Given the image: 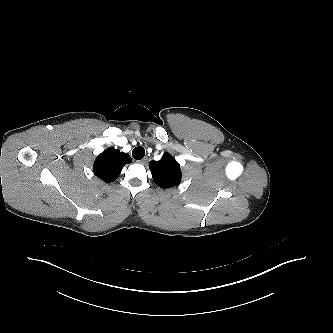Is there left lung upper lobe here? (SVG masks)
Instances as JSON below:
<instances>
[{
  "label": "left lung upper lobe",
  "instance_id": "5c2ea615",
  "mask_svg": "<svg viewBox=\"0 0 333 333\" xmlns=\"http://www.w3.org/2000/svg\"><path fill=\"white\" fill-rule=\"evenodd\" d=\"M149 168L154 182L162 188L173 187L181 182L180 165L169 153H165L159 161H151Z\"/></svg>",
  "mask_w": 333,
  "mask_h": 333
}]
</instances>
